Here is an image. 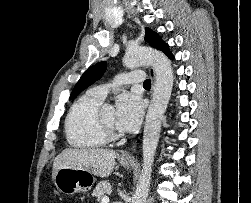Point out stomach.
<instances>
[{"label":"stomach","instance_id":"stomach-1","mask_svg":"<svg viewBox=\"0 0 251 203\" xmlns=\"http://www.w3.org/2000/svg\"><path fill=\"white\" fill-rule=\"evenodd\" d=\"M120 164L126 168L132 166L131 160H120ZM95 182L92 173L84 169L61 168L54 178L56 188L63 194L71 195L76 192H87Z\"/></svg>","mask_w":251,"mask_h":203}]
</instances>
